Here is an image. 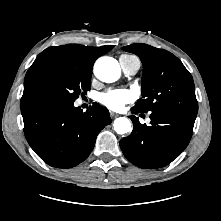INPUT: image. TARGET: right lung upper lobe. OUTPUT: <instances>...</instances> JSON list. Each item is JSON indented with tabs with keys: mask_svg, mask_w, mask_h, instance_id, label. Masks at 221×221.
Wrapping results in <instances>:
<instances>
[{
	"mask_svg": "<svg viewBox=\"0 0 221 221\" xmlns=\"http://www.w3.org/2000/svg\"><path fill=\"white\" fill-rule=\"evenodd\" d=\"M111 49H113V46L90 47L79 44H67L45 49L37 56L26 73L24 92L20 102L21 108L32 101L27 94L28 83L31 76L43 65L51 62H68L92 70L95 60Z\"/></svg>",
	"mask_w": 221,
	"mask_h": 221,
	"instance_id": "cb5924a9",
	"label": "right lung upper lobe"
}]
</instances>
